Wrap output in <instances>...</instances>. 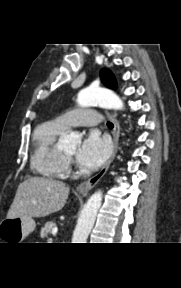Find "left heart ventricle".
<instances>
[{"label":"left heart ventricle","instance_id":"left-heart-ventricle-1","mask_svg":"<svg viewBox=\"0 0 181 288\" xmlns=\"http://www.w3.org/2000/svg\"><path fill=\"white\" fill-rule=\"evenodd\" d=\"M66 153H67L68 155H72V154L74 153V150L66 151Z\"/></svg>","mask_w":181,"mask_h":288}]
</instances>
